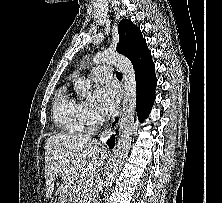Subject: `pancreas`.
Wrapping results in <instances>:
<instances>
[{
    "mask_svg": "<svg viewBox=\"0 0 222 203\" xmlns=\"http://www.w3.org/2000/svg\"><path fill=\"white\" fill-rule=\"evenodd\" d=\"M84 183L85 182L83 181L74 189L73 196L77 203H90L95 198V191L86 192L83 188Z\"/></svg>",
    "mask_w": 222,
    "mask_h": 203,
    "instance_id": "pancreas-1",
    "label": "pancreas"
}]
</instances>
